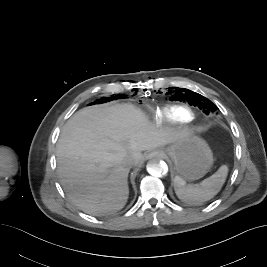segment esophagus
Masks as SVG:
<instances>
[{
    "label": "esophagus",
    "mask_w": 267,
    "mask_h": 267,
    "mask_svg": "<svg viewBox=\"0 0 267 267\" xmlns=\"http://www.w3.org/2000/svg\"><path fill=\"white\" fill-rule=\"evenodd\" d=\"M159 156H161V152H159V151H153V152H150L147 155V158L150 159V158L159 157Z\"/></svg>",
    "instance_id": "obj_1"
}]
</instances>
